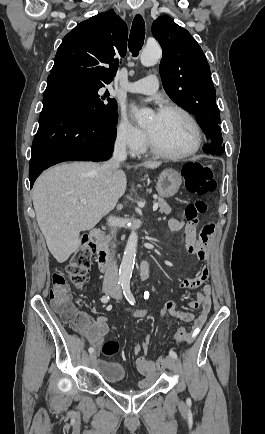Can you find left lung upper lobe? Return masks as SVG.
I'll use <instances>...</instances> for the list:
<instances>
[{
  "label": "left lung upper lobe",
  "mask_w": 265,
  "mask_h": 434,
  "mask_svg": "<svg viewBox=\"0 0 265 434\" xmlns=\"http://www.w3.org/2000/svg\"><path fill=\"white\" fill-rule=\"evenodd\" d=\"M152 33L163 49L159 71L166 93L195 116L211 146L224 148L216 91L201 47L168 15L153 23Z\"/></svg>",
  "instance_id": "5c2ea615"
}]
</instances>
